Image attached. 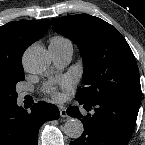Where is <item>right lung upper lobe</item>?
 I'll return each mask as SVG.
<instances>
[{"instance_id":"right-lung-upper-lobe-1","label":"right lung upper lobe","mask_w":145,"mask_h":145,"mask_svg":"<svg viewBox=\"0 0 145 145\" xmlns=\"http://www.w3.org/2000/svg\"><path fill=\"white\" fill-rule=\"evenodd\" d=\"M49 28V19L13 21L0 26V83L23 70V53Z\"/></svg>"}]
</instances>
